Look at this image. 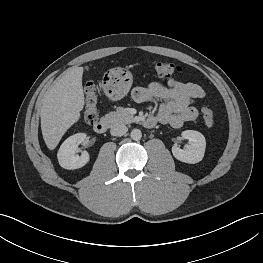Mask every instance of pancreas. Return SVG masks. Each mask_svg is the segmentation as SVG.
Wrapping results in <instances>:
<instances>
[{"mask_svg": "<svg viewBox=\"0 0 263 263\" xmlns=\"http://www.w3.org/2000/svg\"><path fill=\"white\" fill-rule=\"evenodd\" d=\"M105 118L109 120L111 125L129 124L136 121L135 117L123 107H119L116 111L106 114Z\"/></svg>", "mask_w": 263, "mask_h": 263, "instance_id": "obj_1", "label": "pancreas"}]
</instances>
